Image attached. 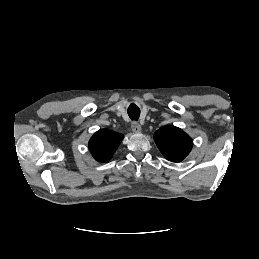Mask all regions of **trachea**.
<instances>
[{
	"mask_svg": "<svg viewBox=\"0 0 259 259\" xmlns=\"http://www.w3.org/2000/svg\"><path fill=\"white\" fill-rule=\"evenodd\" d=\"M127 112L131 120L138 121L140 116V109L135 104H131Z\"/></svg>",
	"mask_w": 259,
	"mask_h": 259,
	"instance_id": "1",
	"label": "trachea"
}]
</instances>
